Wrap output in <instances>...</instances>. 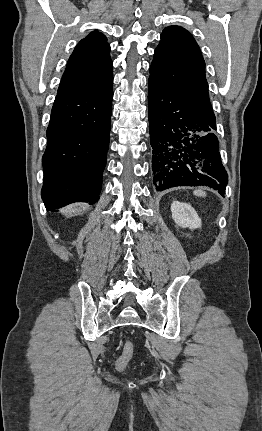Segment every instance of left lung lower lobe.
Instances as JSON below:
<instances>
[{
    "instance_id": "obj_1",
    "label": "left lung lower lobe",
    "mask_w": 262,
    "mask_h": 431,
    "mask_svg": "<svg viewBox=\"0 0 262 431\" xmlns=\"http://www.w3.org/2000/svg\"><path fill=\"white\" fill-rule=\"evenodd\" d=\"M149 133L156 190L208 186L224 195L227 172L221 162L216 121L149 80Z\"/></svg>"
}]
</instances>
